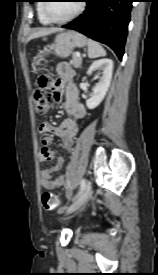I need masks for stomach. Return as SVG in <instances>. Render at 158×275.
<instances>
[{"mask_svg":"<svg viewBox=\"0 0 158 275\" xmlns=\"http://www.w3.org/2000/svg\"><path fill=\"white\" fill-rule=\"evenodd\" d=\"M86 44V37L77 31L69 30L61 32L55 37L54 43L45 47L40 52L38 59L41 60L45 55L50 53L60 58H66L76 47H84Z\"/></svg>","mask_w":158,"mask_h":275,"instance_id":"1","label":"stomach"}]
</instances>
